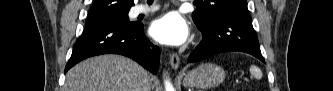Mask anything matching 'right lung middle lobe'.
<instances>
[{"instance_id":"1","label":"right lung middle lobe","mask_w":333,"mask_h":91,"mask_svg":"<svg viewBox=\"0 0 333 91\" xmlns=\"http://www.w3.org/2000/svg\"><path fill=\"white\" fill-rule=\"evenodd\" d=\"M92 21H101V22H117V23H129L131 22L128 17V11L108 16V17H103L100 19L92 20Z\"/></svg>"}]
</instances>
